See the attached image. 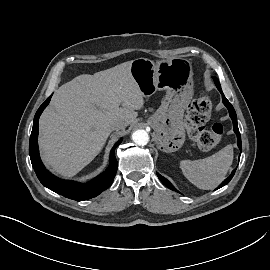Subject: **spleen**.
<instances>
[{
    "label": "spleen",
    "mask_w": 270,
    "mask_h": 270,
    "mask_svg": "<svg viewBox=\"0 0 270 270\" xmlns=\"http://www.w3.org/2000/svg\"><path fill=\"white\" fill-rule=\"evenodd\" d=\"M233 162V147L227 145L219 152L204 159L182 160L180 168L184 176L203 190L217 187L224 179Z\"/></svg>",
    "instance_id": "spleen-1"
}]
</instances>
